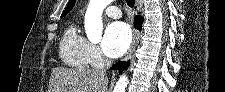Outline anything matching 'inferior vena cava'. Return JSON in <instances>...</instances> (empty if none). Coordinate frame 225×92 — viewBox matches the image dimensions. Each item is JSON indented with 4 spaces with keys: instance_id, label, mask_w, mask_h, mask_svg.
<instances>
[{
    "instance_id": "inferior-vena-cava-1",
    "label": "inferior vena cava",
    "mask_w": 225,
    "mask_h": 92,
    "mask_svg": "<svg viewBox=\"0 0 225 92\" xmlns=\"http://www.w3.org/2000/svg\"><path fill=\"white\" fill-rule=\"evenodd\" d=\"M112 65V61L109 59H105V69L110 68Z\"/></svg>"
}]
</instances>
